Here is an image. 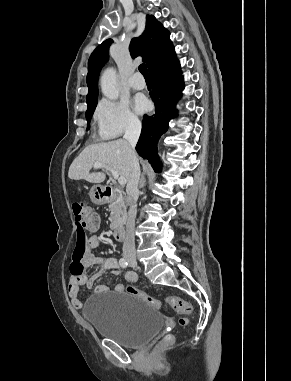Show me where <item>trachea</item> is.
<instances>
[{
	"label": "trachea",
	"instance_id": "1",
	"mask_svg": "<svg viewBox=\"0 0 291 381\" xmlns=\"http://www.w3.org/2000/svg\"><path fill=\"white\" fill-rule=\"evenodd\" d=\"M139 71L144 76V78H149L148 70L145 64H141L139 66Z\"/></svg>",
	"mask_w": 291,
	"mask_h": 381
}]
</instances>
